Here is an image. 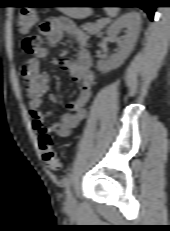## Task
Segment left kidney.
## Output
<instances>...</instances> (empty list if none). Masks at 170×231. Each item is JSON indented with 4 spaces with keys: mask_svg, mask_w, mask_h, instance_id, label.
<instances>
[{
    "mask_svg": "<svg viewBox=\"0 0 170 231\" xmlns=\"http://www.w3.org/2000/svg\"><path fill=\"white\" fill-rule=\"evenodd\" d=\"M141 17L138 13H127L117 19L107 30L108 37L116 41L120 51L110 56L108 60H99L97 69L102 72L118 68L130 55L137 41L140 32ZM126 28V35L123 38L118 36L121 29Z\"/></svg>",
    "mask_w": 170,
    "mask_h": 231,
    "instance_id": "5707ae66",
    "label": "left kidney"
}]
</instances>
